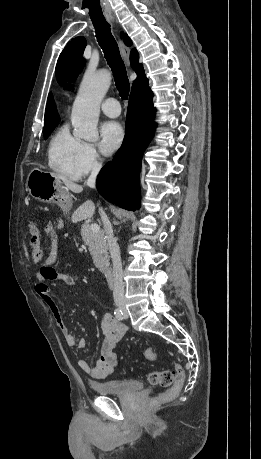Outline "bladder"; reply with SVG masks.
<instances>
[{"mask_svg": "<svg viewBox=\"0 0 261 459\" xmlns=\"http://www.w3.org/2000/svg\"><path fill=\"white\" fill-rule=\"evenodd\" d=\"M91 388L101 395H121L126 396L139 392L142 383L137 379H113L103 382H92Z\"/></svg>", "mask_w": 261, "mask_h": 459, "instance_id": "1", "label": "bladder"}]
</instances>
